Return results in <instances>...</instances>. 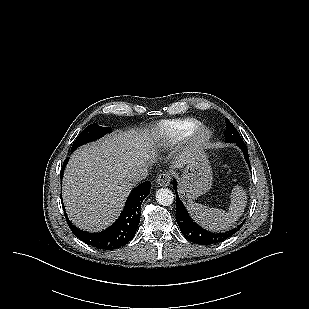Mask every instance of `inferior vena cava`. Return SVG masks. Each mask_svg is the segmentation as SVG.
Listing matches in <instances>:
<instances>
[{
	"mask_svg": "<svg viewBox=\"0 0 309 309\" xmlns=\"http://www.w3.org/2000/svg\"><path fill=\"white\" fill-rule=\"evenodd\" d=\"M148 175V169L147 168H141V169H136L130 174V179L133 182H139L143 179H145Z\"/></svg>",
	"mask_w": 309,
	"mask_h": 309,
	"instance_id": "1",
	"label": "inferior vena cava"
}]
</instances>
